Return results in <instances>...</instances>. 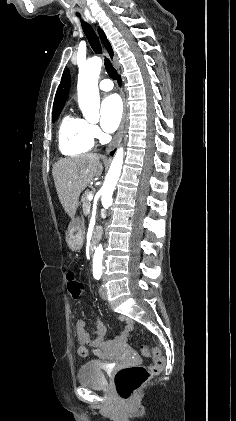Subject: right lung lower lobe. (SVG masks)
<instances>
[{
    "mask_svg": "<svg viewBox=\"0 0 236 421\" xmlns=\"http://www.w3.org/2000/svg\"><path fill=\"white\" fill-rule=\"evenodd\" d=\"M118 83H119V85H121V80L119 79L118 80ZM114 154V152H111V155H113Z\"/></svg>",
    "mask_w": 236,
    "mask_h": 421,
    "instance_id": "obj_1",
    "label": "right lung lower lobe"
}]
</instances>
